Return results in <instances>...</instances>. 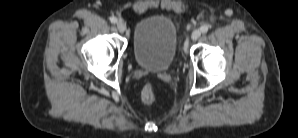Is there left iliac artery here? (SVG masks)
<instances>
[{"instance_id":"left-iliac-artery-1","label":"left iliac artery","mask_w":298,"mask_h":138,"mask_svg":"<svg viewBox=\"0 0 298 138\" xmlns=\"http://www.w3.org/2000/svg\"><path fill=\"white\" fill-rule=\"evenodd\" d=\"M201 32L202 33H207L208 30H209V26L208 25H203L201 28H200Z\"/></svg>"}]
</instances>
